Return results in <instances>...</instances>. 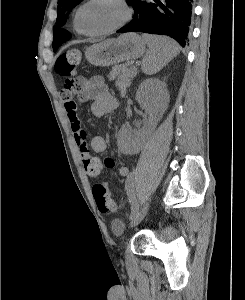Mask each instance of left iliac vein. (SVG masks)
<instances>
[{
    "instance_id": "4c4485c4",
    "label": "left iliac vein",
    "mask_w": 245,
    "mask_h": 300,
    "mask_svg": "<svg viewBox=\"0 0 245 300\" xmlns=\"http://www.w3.org/2000/svg\"><path fill=\"white\" fill-rule=\"evenodd\" d=\"M150 207V202H147L142 209L132 218L131 226H137L145 217Z\"/></svg>"
}]
</instances>
